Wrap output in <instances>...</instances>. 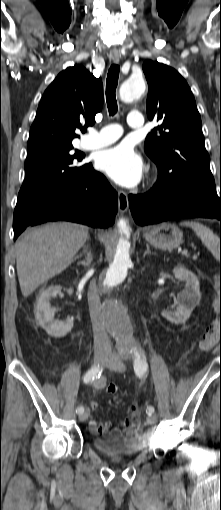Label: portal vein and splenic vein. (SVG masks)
<instances>
[{
    "instance_id": "18ae733b",
    "label": "portal vein and splenic vein",
    "mask_w": 221,
    "mask_h": 510,
    "mask_svg": "<svg viewBox=\"0 0 221 510\" xmlns=\"http://www.w3.org/2000/svg\"><path fill=\"white\" fill-rule=\"evenodd\" d=\"M183 253H184V254H186L187 252H186V251H183ZM197 257H198L197 255H194V256H193V259H197Z\"/></svg>"
}]
</instances>
